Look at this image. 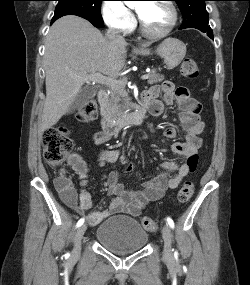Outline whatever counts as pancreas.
<instances>
[{
    "mask_svg": "<svg viewBox=\"0 0 250 285\" xmlns=\"http://www.w3.org/2000/svg\"><path fill=\"white\" fill-rule=\"evenodd\" d=\"M148 84L159 83L164 79V75L157 73L155 69L148 73ZM127 80L124 83L110 87L108 98L101 106V111L107 117L116 119L123 115L131 106L128 92L126 91Z\"/></svg>",
    "mask_w": 250,
    "mask_h": 285,
    "instance_id": "1",
    "label": "pancreas"
}]
</instances>
